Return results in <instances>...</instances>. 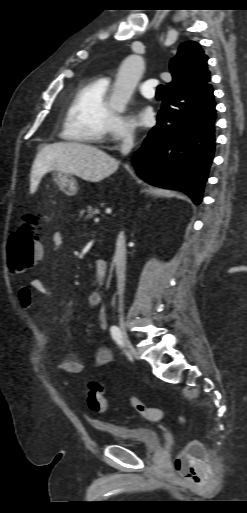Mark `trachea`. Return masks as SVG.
<instances>
[{"mask_svg":"<svg viewBox=\"0 0 247 513\" xmlns=\"http://www.w3.org/2000/svg\"><path fill=\"white\" fill-rule=\"evenodd\" d=\"M164 90H165V86L164 85H159L158 88H157V94L163 95Z\"/></svg>","mask_w":247,"mask_h":513,"instance_id":"obj_1","label":"trachea"}]
</instances>
